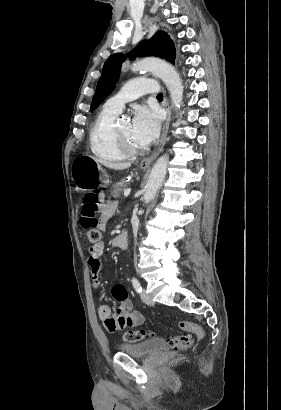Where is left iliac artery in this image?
Segmentation results:
<instances>
[{
	"instance_id": "44dca946",
	"label": "left iliac artery",
	"mask_w": 281,
	"mask_h": 410,
	"mask_svg": "<svg viewBox=\"0 0 281 410\" xmlns=\"http://www.w3.org/2000/svg\"><path fill=\"white\" fill-rule=\"evenodd\" d=\"M132 285H133V287H134V289L137 293L142 292V287H141L139 281L135 277L132 278Z\"/></svg>"
}]
</instances>
